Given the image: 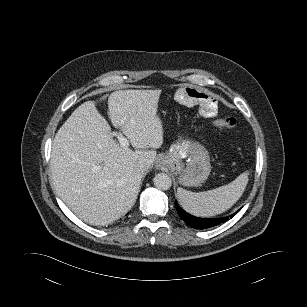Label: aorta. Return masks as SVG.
I'll use <instances>...</instances> for the list:
<instances>
[{
    "mask_svg": "<svg viewBox=\"0 0 307 307\" xmlns=\"http://www.w3.org/2000/svg\"><path fill=\"white\" fill-rule=\"evenodd\" d=\"M154 185L157 189L168 190L172 185V179L169 175L165 173H158L154 177Z\"/></svg>",
    "mask_w": 307,
    "mask_h": 307,
    "instance_id": "obj_1",
    "label": "aorta"
}]
</instances>
